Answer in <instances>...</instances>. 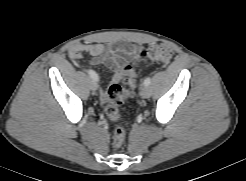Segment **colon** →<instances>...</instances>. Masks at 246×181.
Wrapping results in <instances>:
<instances>
[{
	"mask_svg": "<svg viewBox=\"0 0 246 181\" xmlns=\"http://www.w3.org/2000/svg\"><path fill=\"white\" fill-rule=\"evenodd\" d=\"M173 56L172 49L167 45H151L140 51V57L157 64L168 63ZM136 63H131L124 68L126 72V88L117 83L111 84L103 94V103L105 104V113L113 121L119 119V107L133 96L132 89L135 87ZM125 128L117 126L113 131V146L120 148L125 139Z\"/></svg>",
	"mask_w": 246,
	"mask_h": 181,
	"instance_id": "colon-1",
	"label": "colon"
}]
</instances>
